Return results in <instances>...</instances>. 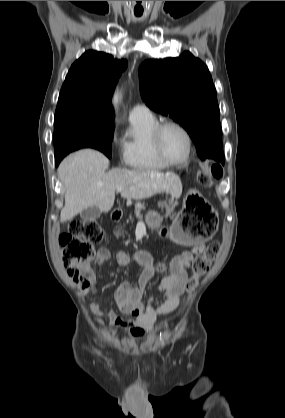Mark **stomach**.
I'll return each mask as SVG.
<instances>
[{
    "label": "stomach",
    "instance_id": "0dacf381",
    "mask_svg": "<svg viewBox=\"0 0 285 418\" xmlns=\"http://www.w3.org/2000/svg\"><path fill=\"white\" fill-rule=\"evenodd\" d=\"M146 221L151 226L153 214H149ZM216 230L214 208L199 193L188 192L170 226V239L180 245L193 246L212 239Z\"/></svg>",
    "mask_w": 285,
    "mask_h": 418
}]
</instances>
